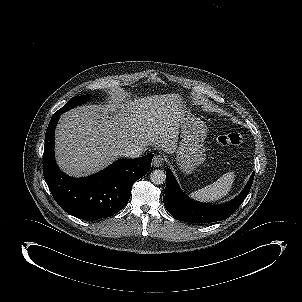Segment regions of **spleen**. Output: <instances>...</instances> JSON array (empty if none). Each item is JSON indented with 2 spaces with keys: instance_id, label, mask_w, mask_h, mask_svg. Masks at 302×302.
Masks as SVG:
<instances>
[{
  "instance_id": "obj_1",
  "label": "spleen",
  "mask_w": 302,
  "mask_h": 302,
  "mask_svg": "<svg viewBox=\"0 0 302 302\" xmlns=\"http://www.w3.org/2000/svg\"><path fill=\"white\" fill-rule=\"evenodd\" d=\"M234 172L223 174L217 181L206 187L194 191L190 197L200 202H213L226 196L234 182Z\"/></svg>"
}]
</instances>
